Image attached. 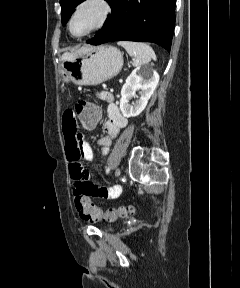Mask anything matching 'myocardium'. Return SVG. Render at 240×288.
Segmentation results:
<instances>
[{"label":"myocardium","instance_id":"f54148a6","mask_svg":"<svg viewBox=\"0 0 240 288\" xmlns=\"http://www.w3.org/2000/svg\"><path fill=\"white\" fill-rule=\"evenodd\" d=\"M89 4H96L100 7V9H101L100 19H99L98 23L92 29H90L88 32L81 34V35H76V34H74V32L72 30L73 20H74L76 14L80 11V9H82L84 6L89 5ZM111 13H112V6L108 0H82L75 7V9H74V11H73V13L69 19V23H68L69 32L73 37H76V38H83V37L89 36L90 34L101 30L107 24V22L111 16Z\"/></svg>","mask_w":240,"mask_h":288}]
</instances>
